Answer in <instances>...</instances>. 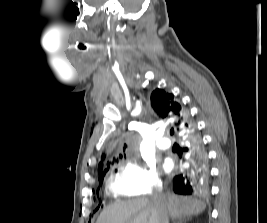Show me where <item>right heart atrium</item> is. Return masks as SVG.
Returning <instances> with one entry per match:
<instances>
[{"label": "right heart atrium", "mask_w": 267, "mask_h": 223, "mask_svg": "<svg viewBox=\"0 0 267 223\" xmlns=\"http://www.w3.org/2000/svg\"><path fill=\"white\" fill-rule=\"evenodd\" d=\"M113 186L119 194L149 195L162 186V180L153 165L127 161L119 168Z\"/></svg>", "instance_id": "right-heart-atrium-1"}]
</instances>
